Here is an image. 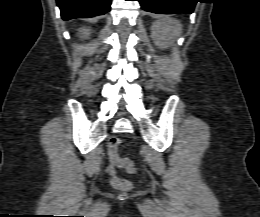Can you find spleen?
I'll use <instances>...</instances> for the list:
<instances>
[{"label":"spleen","instance_id":"1","mask_svg":"<svg viewBox=\"0 0 260 217\" xmlns=\"http://www.w3.org/2000/svg\"><path fill=\"white\" fill-rule=\"evenodd\" d=\"M174 29H175L176 34H179L181 31V27L179 24H175Z\"/></svg>","mask_w":260,"mask_h":217}]
</instances>
